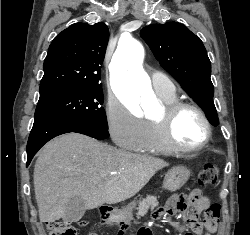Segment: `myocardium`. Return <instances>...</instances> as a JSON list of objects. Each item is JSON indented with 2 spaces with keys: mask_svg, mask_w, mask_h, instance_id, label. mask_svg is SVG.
<instances>
[{
  "mask_svg": "<svg viewBox=\"0 0 250 235\" xmlns=\"http://www.w3.org/2000/svg\"><path fill=\"white\" fill-rule=\"evenodd\" d=\"M185 110L195 111L201 117L205 125L206 133L204 139L198 145L193 147L180 145L173 135L175 120L177 116ZM153 122L158 125L161 137L165 144L172 149V151L179 153L198 152L209 143L212 137V126L206 112L199 105L193 102L175 101L171 104H165L162 115L153 120Z\"/></svg>",
  "mask_w": 250,
  "mask_h": 235,
  "instance_id": "1",
  "label": "myocardium"
}]
</instances>
